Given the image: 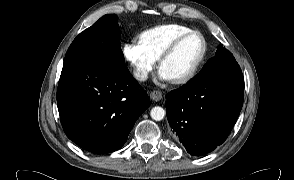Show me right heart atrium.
I'll return each instance as SVG.
<instances>
[{
  "instance_id": "obj_1",
  "label": "right heart atrium",
  "mask_w": 294,
  "mask_h": 180,
  "mask_svg": "<svg viewBox=\"0 0 294 180\" xmlns=\"http://www.w3.org/2000/svg\"><path fill=\"white\" fill-rule=\"evenodd\" d=\"M122 52L127 62L132 67L133 76L139 81H145L157 64V59L152 57L137 40L126 42Z\"/></svg>"
}]
</instances>
